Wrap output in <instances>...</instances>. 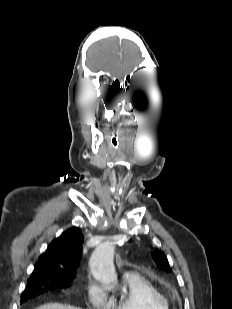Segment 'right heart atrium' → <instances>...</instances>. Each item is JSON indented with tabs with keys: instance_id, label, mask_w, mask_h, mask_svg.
I'll return each mask as SVG.
<instances>
[{
	"instance_id": "d8ad5b80",
	"label": "right heart atrium",
	"mask_w": 232,
	"mask_h": 309,
	"mask_svg": "<svg viewBox=\"0 0 232 309\" xmlns=\"http://www.w3.org/2000/svg\"><path fill=\"white\" fill-rule=\"evenodd\" d=\"M87 294L89 301L96 309H106L109 298L106 291L99 284L89 281Z\"/></svg>"
}]
</instances>
